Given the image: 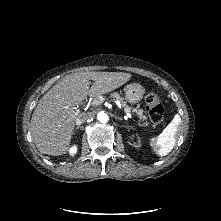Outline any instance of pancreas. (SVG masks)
Returning a JSON list of instances; mask_svg holds the SVG:
<instances>
[{
  "label": "pancreas",
  "mask_w": 221,
  "mask_h": 221,
  "mask_svg": "<svg viewBox=\"0 0 221 221\" xmlns=\"http://www.w3.org/2000/svg\"><path fill=\"white\" fill-rule=\"evenodd\" d=\"M111 97L118 100L122 107L126 110V111H130L131 108L129 106H127L126 102L124 101V99L118 94V93H112ZM132 112H136V114L138 115V118L140 119L143 126H149L150 123L147 121L148 118L144 115V111L142 109H133Z\"/></svg>",
  "instance_id": "pancreas-1"
}]
</instances>
